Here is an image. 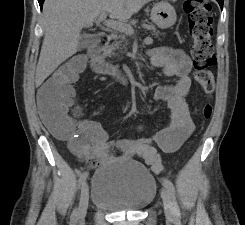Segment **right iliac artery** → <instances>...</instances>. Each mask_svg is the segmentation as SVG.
Returning <instances> with one entry per match:
<instances>
[{"label":"right iliac artery","mask_w":245,"mask_h":225,"mask_svg":"<svg viewBox=\"0 0 245 225\" xmlns=\"http://www.w3.org/2000/svg\"><path fill=\"white\" fill-rule=\"evenodd\" d=\"M88 177V172H84L79 178V187L85 182ZM77 218V208H75L72 212L71 219L75 221Z\"/></svg>","instance_id":"right-iliac-artery-1"}]
</instances>
